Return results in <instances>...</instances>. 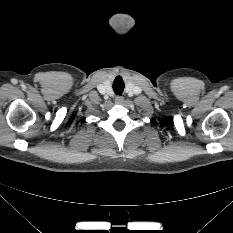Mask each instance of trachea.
Returning <instances> with one entry per match:
<instances>
[{"label": "trachea", "instance_id": "obj_1", "mask_svg": "<svg viewBox=\"0 0 233 233\" xmlns=\"http://www.w3.org/2000/svg\"><path fill=\"white\" fill-rule=\"evenodd\" d=\"M124 82L120 76H117L113 82V90L116 95H121L124 91Z\"/></svg>", "mask_w": 233, "mask_h": 233}]
</instances>
